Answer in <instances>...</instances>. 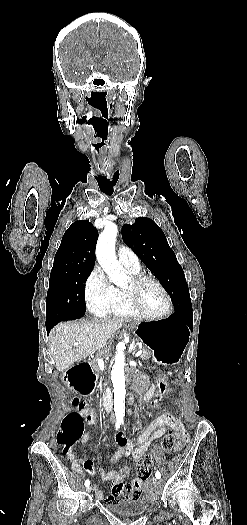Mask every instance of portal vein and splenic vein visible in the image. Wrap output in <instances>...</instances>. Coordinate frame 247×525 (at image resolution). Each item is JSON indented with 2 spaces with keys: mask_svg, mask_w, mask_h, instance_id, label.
<instances>
[{
  "mask_svg": "<svg viewBox=\"0 0 247 525\" xmlns=\"http://www.w3.org/2000/svg\"><path fill=\"white\" fill-rule=\"evenodd\" d=\"M75 345H79V343H75ZM141 353H143V350H137V353H135L134 358H139L141 356ZM104 358L102 356L95 357V362H98V366H100V370H102V373H105L104 365L105 362ZM103 380H105V377H100L99 383H103Z\"/></svg>",
  "mask_w": 247,
  "mask_h": 525,
  "instance_id": "1",
  "label": "portal vein and splenic vein"
}]
</instances>
